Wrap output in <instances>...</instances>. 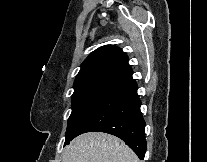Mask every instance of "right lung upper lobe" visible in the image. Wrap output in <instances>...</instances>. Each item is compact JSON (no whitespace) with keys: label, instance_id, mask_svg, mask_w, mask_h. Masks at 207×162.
Masks as SVG:
<instances>
[{"label":"right lung upper lobe","instance_id":"1","mask_svg":"<svg viewBox=\"0 0 207 162\" xmlns=\"http://www.w3.org/2000/svg\"><path fill=\"white\" fill-rule=\"evenodd\" d=\"M128 57L114 45H105L93 51L82 63L74 89L91 86L117 88L132 78Z\"/></svg>","mask_w":207,"mask_h":162}]
</instances>
